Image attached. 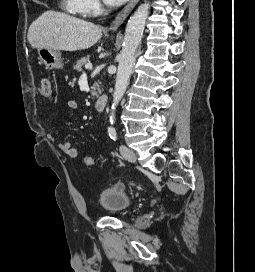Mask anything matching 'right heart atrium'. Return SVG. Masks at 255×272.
I'll return each instance as SVG.
<instances>
[{
  "instance_id": "obj_1",
  "label": "right heart atrium",
  "mask_w": 255,
  "mask_h": 272,
  "mask_svg": "<svg viewBox=\"0 0 255 272\" xmlns=\"http://www.w3.org/2000/svg\"><path fill=\"white\" fill-rule=\"evenodd\" d=\"M81 13L92 15L100 8L99 0H78Z\"/></svg>"
}]
</instances>
